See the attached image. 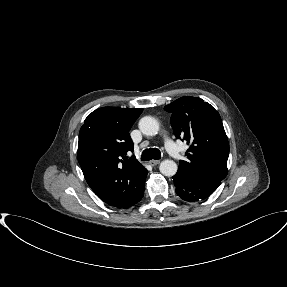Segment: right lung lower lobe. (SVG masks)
I'll return each instance as SVG.
<instances>
[{"mask_svg": "<svg viewBox=\"0 0 287 287\" xmlns=\"http://www.w3.org/2000/svg\"><path fill=\"white\" fill-rule=\"evenodd\" d=\"M147 170V169H146ZM147 173L148 171L146 172V176H147ZM146 176L145 178L142 180L139 188L137 189V191L135 192V194L133 195V197L126 203L124 204L123 206L121 207H117V208H128L130 206H133L134 204H136L137 202H139L142 197H143V194H144V186H145V179H146Z\"/></svg>", "mask_w": 287, "mask_h": 287, "instance_id": "obj_1", "label": "right lung lower lobe"}]
</instances>
